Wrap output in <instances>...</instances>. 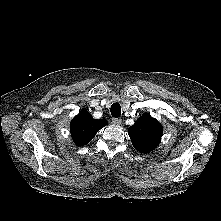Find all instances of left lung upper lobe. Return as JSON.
<instances>
[{
	"label": "left lung upper lobe",
	"mask_w": 221,
	"mask_h": 221,
	"mask_svg": "<svg viewBox=\"0 0 221 221\" xmlns=\"http://www.w3.org/2000/svg\"><path fill=\"white\" fill-rule=\"evenodd\" d=\"M128 131L134 147L141 153L156 148L162 137V126L148 113L142 115Z\"/></svg>",
	"instance_id": "1"
}]
</instances>
